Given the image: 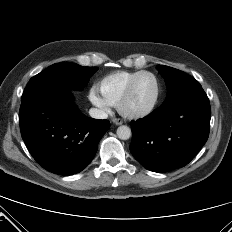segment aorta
<instances>
[{
    "label": "aorta",
    "mask_w": 232,
    "mask_h": 232,
    "mask_svg": "<svg viewBox=\"0 0 232 232\" xmlns=\"http://www.w3.org/2000/svg\"><path fill=\"white\" fill-rule=\"evenodd\" d=\"M116 133L121 140H128L131 137V129L126 125L119 126Z\"/></svg>",
    "instance_id": "1"
}]
</instances>
